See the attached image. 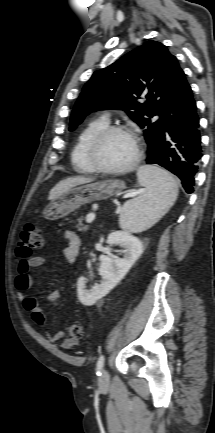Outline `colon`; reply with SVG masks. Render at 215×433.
I'll use <instances>...</instances> for the list:
<instances>
[{
  "mask_svg": "<svg viewBox=\"0 0 215 433\" xmlns=\"http://www.w3.org/2000/svg\"><path fill=\"white\" fill-rule=\"evenodd\" d=\"M43 244V236L41 230L34 224H26L21 232L17 248V255L21 258L31 256L33 250L38 249ZM69 338L77 339L84 333V327L80 323H73L67 327Z\"/></svg>",
  "mask_w": 215,
  "mask_h": 433,
  "instance_id": "obj_1",
  "label": "colon"
}]
</instances>
